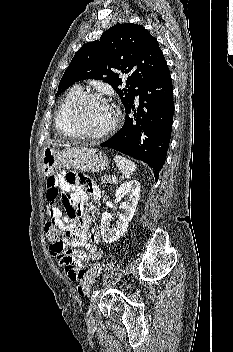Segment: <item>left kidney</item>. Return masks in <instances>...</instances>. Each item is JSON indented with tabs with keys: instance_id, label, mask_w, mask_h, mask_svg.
I'll list each match as a JSON object with an SVG mask.
<instances>
[{
	"instance_id": "obj_1",
	"label": "left kidney",
	"mask_w": 233,
	"mask_h": 352,
	"mask_svg": "<svg viewBox=\"0 0 233 352\" xmlns=\"http://www.w3.org/2000/svg\"><path fill=\"white\" fill-rule=\"evenodd\" d=\"M140 188V183L132 180L121 184L116 190L115 199L121 201L126 196V201L120 204L122 212L118 214V221L114 226H110L111 215L107 211L102 214L101 235L104 242L113 243L126 232L139 201Z\"/></svg>"
}]
</instances>
